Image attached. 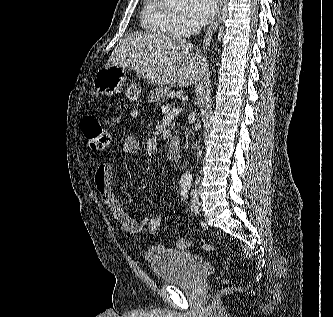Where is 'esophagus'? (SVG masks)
Returning <instances> with one entry per match:
<instances>
[{
    "mask_svg": "<svg viewBox=\"0 0 333 317\" xmlns=\"http://www.w3.org/2000/svg\"><path fill=\"white\" fill-rule=\"evenodd\" d=\"M222 11H223V0H219L218 13H217L215 19L213 20V22L211 23V25L209 26V28L207 29L204 40H203L204 49L209 46L211 39L213 37V34L220 24Z\"/></svg>",
    "mask_w": 333,
    "mask_h": 317,
    "instance_id": "1",
    "label": "esophagus"
}]
</instances>
